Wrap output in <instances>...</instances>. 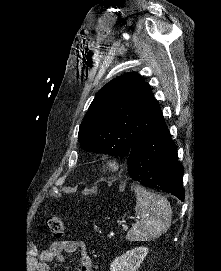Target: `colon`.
Segmentation results:
<instances>
[{
	"label": "colon",
	"instance_id": "colon-1",
	"mask_svg": "<svg viewBox=\"0 0 221 271\" xmlns=\"http://www.w3.org/2000/svg\"><path fill=\"white\" fill-rule=\"evenodd\" d=\"M45 227L56 237H60L63 233V221L59 216H47L45 219Z\"/></svg>",
	"mask_w": 221,
	"mask_h": 271
}]
</instances>
